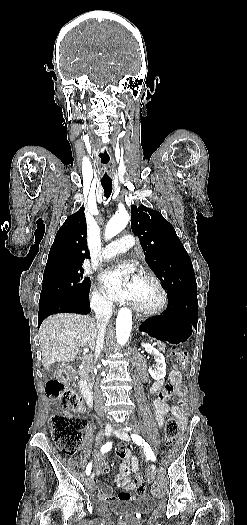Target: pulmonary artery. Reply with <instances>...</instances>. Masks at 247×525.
I'll list each match as a JSON object with an SVG mask.
<instances>
[{
	"label": "pulmonary artery",
	"mask_w": 247,
	"mask_h": 525,
	"mask_svg": "<svg viewBox=\"0 0 247 525\" xmlns=\"http://www.w3.org/2000/svg\"><path fill=\"white\" fill-rule=\"evenodd\" d=\"M138 243V238L132 234H123L117 240L109 243L101 251L102 258L106 263H111L113 257L117 258L121 253L133 248Z\"/></svg>",
	"instance_id": "e3ab8cb5"
}]
</instances>
